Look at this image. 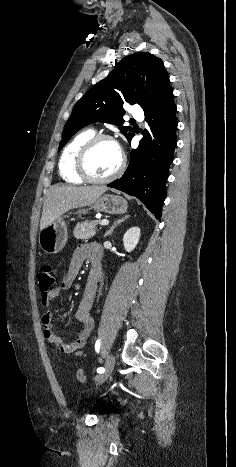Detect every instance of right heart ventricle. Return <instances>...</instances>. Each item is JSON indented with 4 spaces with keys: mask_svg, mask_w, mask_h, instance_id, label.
I'll use <instances>...</instances> for the list:
<instances>
[{
    "mask_svg": "<svg viewBox=\"0 0 236 467\" xmlns=\"http://www.w3.org/2000/svg\"><path fill=\"white\" fill-rule=\"evenodd\" d=\"M94 135L93 130L77 134L64 148L59 159V173L67 183L78 184L84 181L76 171V157L82 145Z\"/></svg>",
    "mask_w": 236,
    "mask_h": 467,
    "instance_id": "obj_1",
    "label": "right heart ventricle"
}]
</instances>
